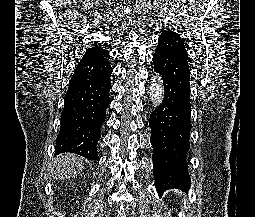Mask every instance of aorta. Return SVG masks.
Segmentation results:
<instances>
[{
    "mask_svg": "<svg viewBox=\"0 0 255 217\" xmlns=\"http://www.w3.org/2000/svg\"><path fill=\"white\" fill-rule=\"evenodd\" d=\"M149 97L155 108L163 102L164 86L162 77L159 74H154L152 77L149 89Z\"/></svg>",
    "mask_w": 255,
    "mask_h": 217,
    "instance_id": "aorta-1",
    "label": "aorta"
}]
</instances>
